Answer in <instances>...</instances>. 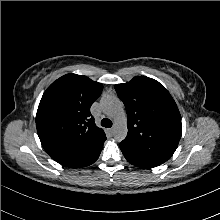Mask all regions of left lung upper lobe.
I'll use <instances>...</instances> for the list:
<instances>
[{
	"mask_svg": "<svg viewBox=\"0 0 220 220\" xmlns=\"http://www.w3.org/2000/svg\"><path fill=\"white\" fill-rule=\"evenodd\" d=\"M114 87L128 118V134L120 145L157 162H166L182 134L180 112L169 92L145 76Z\"/></svg>",
	"mask_w": 220,
	"mask_h": 220,
	"instance_id": "obj_1",
	"label": "left lung upper lobe"
}]
</instances>
